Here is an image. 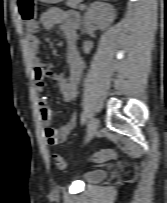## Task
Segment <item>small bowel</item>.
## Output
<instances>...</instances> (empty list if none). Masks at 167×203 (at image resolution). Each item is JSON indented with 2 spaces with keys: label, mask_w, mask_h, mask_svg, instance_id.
<instances>
[{
  "label": "small bowel",
  "mask_w": 167,
  "mask_h": 203,
  "mask_svg": "<svg viewBox=\"0 0 167 203\" xmlns=\"http://www.w3.org/2000/svg\"><path fill=\"white\" fill-rule=\"evenodd\" d=\"M40 21L45 29L60 26L64 32L67 39L68 72L67 74H54L39 56L40 39L30 37L27 39V48L33 65L35 87L41 92L45 87V80L48 78L54 79L59 85L63 100L67 103H74L77 99L78 85L84 71V62L77 49V31L80 25V16L74 11L51 8L41 16ZM38 106L46 141L50 145H57L65 141L76 125L75 115L72 114L65 124L55 129L51 127L52 110L47 99L40 97Z\"/></svg>",
  "instance_id": "small-bowel-1"
}]
</instances>
